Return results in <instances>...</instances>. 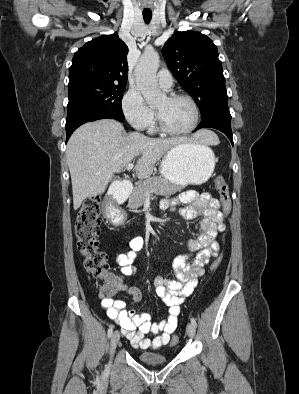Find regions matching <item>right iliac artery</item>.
Returning <instances> with one entry per match:
<instances>
[{
    "label": "right iliac artery",
    "mask_w": 299,
    "mask_h": 394,
    "mask_svg": "<svg viewBox=\"0 0 299 394\" xmlns=\"http://www.w3.org/2000/svg\"><path fill=\"white\" fill-rule=\"evenodd\" d=\"M113 327H114V326H113V325H111V326H110V328L108 329V333H107V334H108V338H110V337L112 336V333H113Z\"/></svg>",
    "instance_id": "obj_1"
}]
</instances>
